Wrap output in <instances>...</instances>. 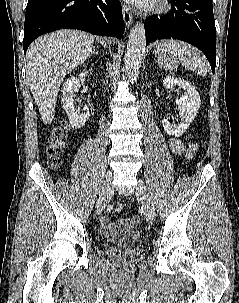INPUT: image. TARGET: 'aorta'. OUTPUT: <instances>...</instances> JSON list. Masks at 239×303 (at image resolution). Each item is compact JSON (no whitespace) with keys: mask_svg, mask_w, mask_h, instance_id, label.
<instances>
[{"mask_svg":"<svg viewBox=\"0 0 239 303\" xmlns=\"http://www.w3.org/2000/svg\"><path fill=\"white\" fill-rule=\"evenodd\" d=\"M146 38L142 23H136L130 31L125 54V72L133 80L136 79L145 52Z\"/></svg>","mask_w":239,"mask_h":303,"instance_id":"obj_1","label":"aorta"}]
</instances>
